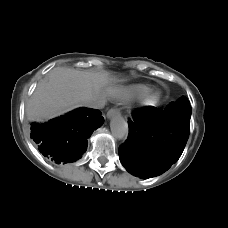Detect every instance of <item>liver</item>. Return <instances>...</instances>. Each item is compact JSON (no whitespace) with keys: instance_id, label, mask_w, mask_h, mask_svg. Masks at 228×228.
Returning a JSON list of instances; mask_svg holds the SVG:
<instances>
[{"instance_id":"liver-1","label":"liver","mask_w":228,"mask_h":228,"mask_svg":"<svg viewBox=\"0 0 228 228\" xmlns=\"http://www.w3.org/2000/svg\"><path fill=\"white\" fill-rule=\"evenodd\" d=\"M114 81L117 80L106 71L54 68L37 85L27 104V117L39 121L84 106L87 100L103 96L105 88Z\"/></svg>"}]
</instances>
